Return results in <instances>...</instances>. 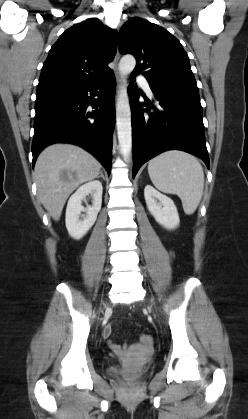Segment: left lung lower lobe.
I'll list each match as a JSON object with an SVG mask.
<instances>
[{
  "label": "left lung lower lobe",
  "instance_id": "0a47b994",
  "mask_svg": "<svg viewBox=\"0 0 248 419\" xmlns=\"http://www.w3.org/2000/svg\"><path fill=\"white\" fill-rule=\"evenodd\" d=\"M135 75L131 74L134 81ZM157 105L139 104V95L129 85L132 113L133 177L139 168L156 155L172 149L189 152L201 158L209 168L202 107L199 94L167 93L152 89Z\"/></svg>",
  "mask_w": 248,
  "mask_h": 419
}]
</instances>
